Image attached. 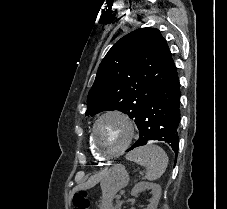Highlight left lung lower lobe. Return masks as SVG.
Masks as SVG:
<instances>
[{"label": "left lung lower lobe", "mask_w": 227, "mask_h": 209, "mask_svg": "<svg viewBox=\"0 0 227 209\" xmlns=\"http://www.w3.org/2000/svg\"><path fill=\"white\" fill-rule=\"evenodd\" d=\"M180 84L177 70L167 79L156 95L144 106L136 122L139 139L127 151L162 141L177 154L179 148Z\"/></svg>", "instance_id": "1"}]
</instances>
